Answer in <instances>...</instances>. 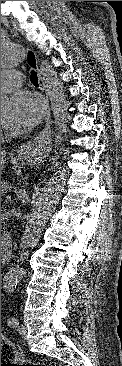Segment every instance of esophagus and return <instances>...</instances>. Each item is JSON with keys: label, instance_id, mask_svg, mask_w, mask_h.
<instances>
[{"label": "esophagus", "instance_id": "1", "mask_svg": "<svg viewBox=\"0 0 122 366\" xmlns=\"http://www.w3.org/2000/svg\"><path fill=\"white\" fill-rule=\"evenodd\" d=\"M26 59H27V62L29 63V65L32 68H34L35 71L37 72L39 85H40L41 89L44 91L45 90L44 79H43V76L38 67L36 54L29 48H27V50H26ZM46 105H47L46 117H45L46 126L40 132L37 141H35L33 144H29L24 147L23 152L25 155H30L32 153L37 152L40 149L41 150L46 149L48 147V145L50 144V136H51L50 107H49V101H48L47 95H46Z\"/></svg>", "mask_w": 122, "mask_h": 366}]
</instances>
